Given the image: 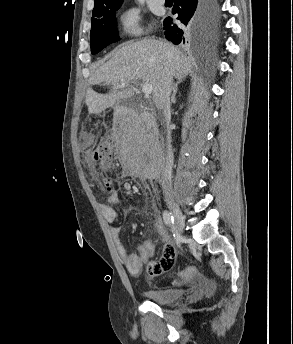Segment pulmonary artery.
Returning a JSON list of instances; mask_svg holds the SVG:
<instances>
[{"label":"pulmonary artery","instance_id":"1","mask_svg":"<svg viewBox=\"0 0 293 344\" xmlns=\"http://www.w3.org/2000/svg\"><path fill=\"white\" fill-rule=\"evenodd\" d=\"M154 2L158 3V4H164L165 0H153Z\"/></svg>","mask_w":293,"mask_h":344}]
</instances>
